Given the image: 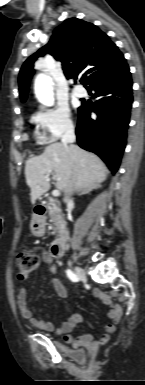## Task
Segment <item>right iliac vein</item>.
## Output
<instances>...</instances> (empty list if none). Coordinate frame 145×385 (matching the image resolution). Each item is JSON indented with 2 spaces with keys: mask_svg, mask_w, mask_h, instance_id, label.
Here are the masks:
<instances>
[{
  "mask_svg": "<svg viewBox=\"0 0 145 385\" xmlns=\"http://www.w3.org/2000/svg\"><path fill=\"white\" fill-rule=\"evenodd\" d=\"M74 271L80 280L86 281V279H87L86 273L81 267L75 266Z\"/></svg>",
  "mask_w": 145,
  "mask_h": 385,
  "instance_id": "63e3f726",
  "label": "right iliac vein"
}]
</instances>
